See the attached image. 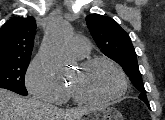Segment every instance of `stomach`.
I'll return each mask as SVG.
<instances>
[{
	"label": "stomach",
	"instance_id": "0dacf381",
	"mask_svg": "<svg viewBox=\"0 0 165 120\" xmlns=\"http://www.w3.org/2000/svg\"><path fill=\"white\" fill-rule=\"evenodd\" d=\"M81 120H123V117L116 108L107 106L88 110Z\"/></svg>",
	"mask_w": 165,
	"mask_h": 120
}]
</instances>
